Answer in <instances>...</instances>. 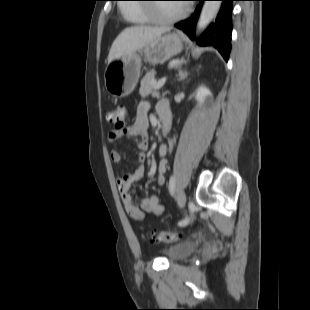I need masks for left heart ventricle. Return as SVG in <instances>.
Here are the masks:
<instances>
[{
  "label": "left heart ventricle",
  "mask_w": 310,
  "mask_h": 310,
  "mask_svg": "<svg viewBox=\"0 0 310 310\" xmlns=\"http://www.w3.org/2000/svg\"><path fill=\"white\" fill-rule=\"evenodd\" d=\"M182 9L178 4H160L156 10L159 15H172L179 12Z\"/></svg>",
  "instance_id": "left-heart-ventricle-1"
}]
</instances>
